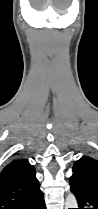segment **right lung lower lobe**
<instances>
[{
  "label": "right lung lower lobe",
  "mask_w": 98,
  "mask_h": 209,
  "mask_svg": "<svg viewBox=\"0 0 98 209\" xmlns=\"http://www.w3.org/2000/svg\"><path fill=\"white\" fill-rule=\"evenodd\" d=\"M14 209H46L42 191L39 190L28 200L21 203Z\"/></svg>",
  "instance_id": "98d812e1"
}]
</instances>
